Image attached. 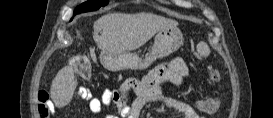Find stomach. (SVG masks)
Returning a JSON list of instances; mask_svg holds the SVG:
<instances>
[{"instance_id": "1", "label": "stomach", "mask_w": 273, "mask_h": 118, "mask_svg": "<svg viewBox=\"0 0 273 118\" xmlns=\"http://www.w3.org/2000/svg\"><path fill=\"white\" fill-rule=\"evenodd\" d=\"M182 44V32L177 27H166L156 33L152 49L145 59L130 52L116 54L102 52L100 60L102 65L110 71L142 70L150 66L156 59L165 58L177 51Z\"/></svg>"}]
</instances>
